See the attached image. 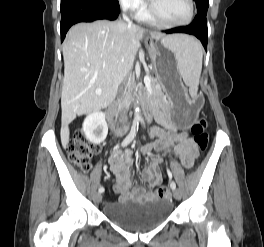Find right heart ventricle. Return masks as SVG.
<instances>
[{
	"label": "right heart ventricle",
	"instance_id": "obj_1",
	"mask_svg": "<svg viewBox=\"0 0 264 247\" xmlns=\"http://www.w3.org/2000/svg\"><path fill=\"white\" fill-rule=\"evenodd\" d=\"M137 18H138V20H140L142 22H146V23H150V24H153L154 23V21L151 19V17L147 13V11L144 10V9L140 10L137 13Z\"/></svg>",
	"mask_w": 264,
	"mask_h": 247
}]
</instances>
